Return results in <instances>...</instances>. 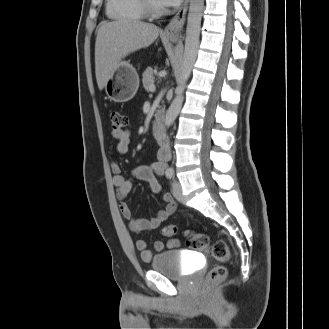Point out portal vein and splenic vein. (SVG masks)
Listing matches in <instances>:
<instances>
[{
    "label": "portal vein and splenic vein",
    "mask_w": 329,
    "mask_h": 329,
    "mask_svg": "<svg viewBox=\"0 0 329 329\" xmlns=\"http://www.w3.org/2000/svg\"><path fill=\"white\" fill-rule=\"evenodd\" d=\"M155 89H156V87H155L154 83L151 84L150 87H149V91L154 92Z\"/></svg>",
    "instance_id": "1"
}]
</instances>
